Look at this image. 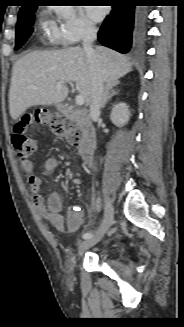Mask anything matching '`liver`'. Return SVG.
I'll use <instances>...</instances> for the list:
<instances>
[{"instance_id": "liver-1", "label": "liver", "mask_w": 184, "mask_h": 327, "mask_svg": "<svg viewBox=\"0 0 184 327\" xmlns=\"http://www.w3.org/2000/svg\"><path fill=\"white\" fill-rule=\"evenodd\" d=\"M95 54L99 61L103 83L118 84L119 79L132 70L129 58L98 46ZM73 81L86 105L91 103V73L89 61L81 47L56 51H33L17 60L12 69L9 90V110L17 120L29 107L59 104L68 95L64 85Z\"/></svg>"}]
</instances>
